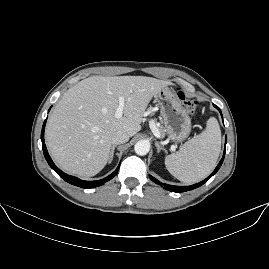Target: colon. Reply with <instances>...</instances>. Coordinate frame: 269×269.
I'll return each mask as SVG.
<instances>
[{"label": "colon", "mask_w": 269, "mask_h": 269, "mask_svg": "<svg viewBox=\"0 0 269 269\" xmlns=\"http://www.w3.org/2000/svg\"><path fill=\"white\" fill-rule=\"evenodd\" d=\"M179 97L184 101L183 106L185 110L190 114H195L198 107V102L194 99H186L183 93H180Z\"/></svg>", "instance_id": "obj_1"}]
</instances>
